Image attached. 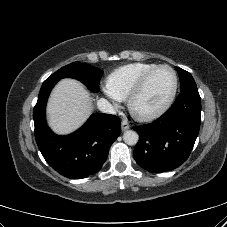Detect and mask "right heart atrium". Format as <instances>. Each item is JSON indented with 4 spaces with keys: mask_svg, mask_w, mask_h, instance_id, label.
<instances>
[{
    "mask_svg": "<svg viewBox=\"0 0 227 227\" xmlns=\"http://www.w3.org/2000/svg\"><path fill=\"white\" fill-rule=\"evenodd\" d=\"M104 94L110 99V101L113 103V105H117V103L120 101L117 97H115L109 89L106 87L103 88Z\"/></svg>",
    "mask_w": 227,
    "mask_h": 227,
    "instance_id": "right-heart-atrium-1",
    "label": "right heart atrium"
}]
</instances>
